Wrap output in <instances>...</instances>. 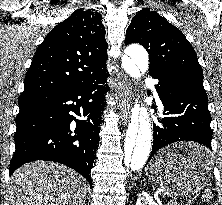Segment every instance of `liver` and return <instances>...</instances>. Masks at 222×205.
<instances>
[{"instance_id":"1","label":"liver","mask_w":222,"mask_h":205,"mask_svg":"<svg viewBox=\"0 0 222 205\" xmlns=\"http://www.w3.org/2000/svg\"><path fill=\"white\" fill-rule=\"evenodd\" d=\"M10 205H84V178L54 162H31L17 169L9 182Z\"/></svg>"}]
</instances>
